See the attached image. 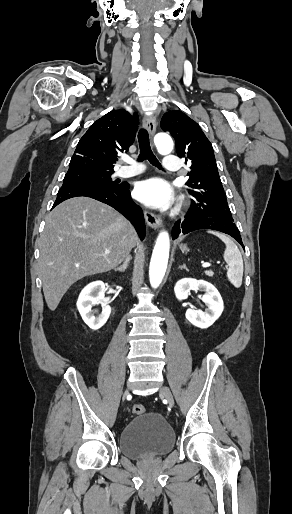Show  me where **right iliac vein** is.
Returning a JSON list of instances; mask_svg holds the SVG:
<instances>
[{
    "label": "right iliac vein",
    "instance_id": "right-iliac-vein-1",
    "mask_svg": "<svg viewBox=\"0 0 292 514\" xmlns=\"http://www.w3.org/2000/svg\"><path fill=\"white\" fill-rule=\"evenodd\" d=\"M128 393H129V392H128V390L126 389V390L124 391V394H123V399H125V397L128 395Z\"/></svg>",
    "mask_w": 292,
    "mask_h": 514
}]
</instances>
